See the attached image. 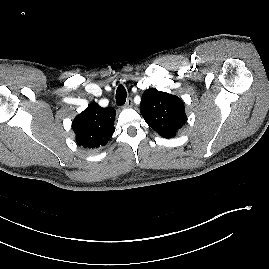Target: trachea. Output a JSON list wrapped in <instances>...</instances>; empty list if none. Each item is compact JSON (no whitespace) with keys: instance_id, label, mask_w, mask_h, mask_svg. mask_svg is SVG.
Here are the masks:
<instances>
[{"instance_id":"trachea-1","label":"trachea","mask_w":269,"mask_h":269,"mask_svg":"<svg viewBox=\"0 0 269 269\" xmlns=\"http://www.w3.org/2000/svg\"><path fill=\"white\" fill-rule=\"evenodd\" d=\"M127 92L123 85H119L116 90L117 105H124L126 102Z\"/></svg>"}]
</instances>
